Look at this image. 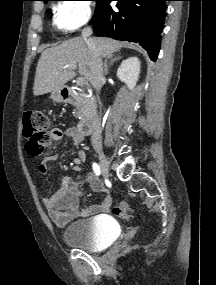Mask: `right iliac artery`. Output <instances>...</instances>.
Instances as JSON below:
<instances>
[{
    "instance_id": "obj_1",
    "label": "right iliac artery",
    "mask_w": 216,
    "mask_h": 285,
    "mask_svg": "<svg viewBox=\"0 0 216 285\" xmlns=\"http://www.w3.org/2000/svg\"><path fill=\"white\" fill-rule=\"evenodd\" d=\"M93 170H94V173L99 176L100 175V167L96 164V163H93Z\"/></svg>"
}]
</instances>
